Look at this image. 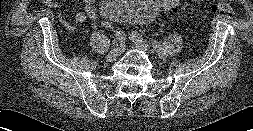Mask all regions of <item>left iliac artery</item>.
Instances as JSON below:
<instances>
[{
	"label": "left iliac artery",
	"mask_w": 253,
	"mask_h": 131,
	"mask_svg": "<svg viewBox=\"0 0 253 131\" xmlns=\"http://www.w3.org/2000/svg\"><path fill=\"white\" fill-rule=\"evenodd\" d=\"M130 35L133 36V37H135V38H137V39H143V36H142L140 33L136 32V31H132V32L130 33ZM149 42H151L153 48H154L159 54H163L164 51H163V48H162V46L160 45L159 42H157V41H155V40H149Z\"/></svg>",
	"instance_id": "obj_1"
}]
</instances>
